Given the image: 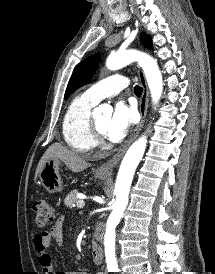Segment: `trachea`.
I'll return each instance as SVG.
<instances>
[{"instance_id":"obj_1","label":"trachea","mask_w":215,"mask_h":274,"mask_svg":"<svg viewBox=\"0 0 215 274\" xmlns=\"http://www.w3.org/2000/svg\"><path fill=\"white\" fill-rule=\"evenodd\" d=\"M142 91H143L142 87H140L139 85L135 86L134 92H135L136 96L140 97L142 94Z\"/></svg>"}]
</instances>
